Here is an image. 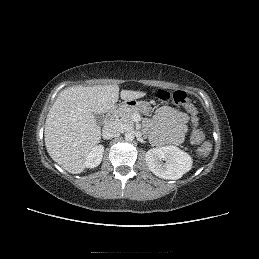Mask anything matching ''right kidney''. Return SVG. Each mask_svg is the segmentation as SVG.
<instances>
[{
  "instance_id": "right-kidney-1",
  "label": "right kidney",
  "mask_w": 259,
  "mask_h": 259,
  "mask_svg": "<svg viewBox=\"0 0 259 259\" xmlns=\"http://www.w3.org/2000/svg\"><path fill=\"white\" fill-rule=\"evenodd\" d=\"M104 146L103 145H96L92 148L86 158V167L87 168H94L97 167L103 158Z\"/></svg>"
}]
</instances>
